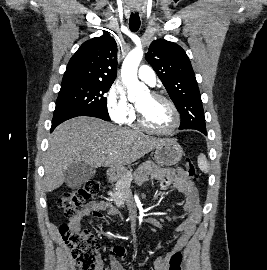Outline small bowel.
Segmentation results:
<instances>
[{"mask_svg": "<svg viewBox=\"0 0 267 270\" xmlns=\"http://www.w3.org/2000/svg\"><path fill=\"white\" fill-rule=\"evenodd\" d=\"M150 179L159 180L162 189L173 185L176 191L184 197L182 209L187 216L175 229L176 243L170 253L164 257H157L153 263L154 270H168L171 255L182 251L194 236L202 217V210L197 188L182 169H164L154 164H147L138 172L136 181L138 184H142ZM104 210H108L113 216L119 215V210L111 203L104 200L91 201L78 210L69 223L72 226H80L81 221L89 216L104 219L102 214ZM125 258V248L121 245L114 246L110 258V270H123L119 259Z\"/></svg>", "mask_w": 267, "mask_h": 270, "instance_id": "small-bowel-1", "label": "small bowel"}]
</instances>
